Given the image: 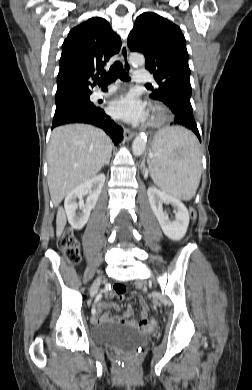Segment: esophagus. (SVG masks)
Listing matches in <instances>:
<instances>
[{"label": "esophagus", "mask_w": 252, "mask_h": 390, "mask_svg": "<svg viewBox=\"0 0 252 390\" xmlns=\"http://www.w3.org/2000/svg\"><path fill=\"white\" fill-rule=\"evenodd\" d=\"M120 55H121V59H122V63H123V66L126 70H130L131 69V65L128 61V47L126 45V43H123L122 44V47H121V50H120ZM135 133L132 132L131 130L129 129H124V136H125V139L127 141H129L130 139H132L134 137Z\"/></svg>", "instance_id": "obj_1"}]
</instances>
